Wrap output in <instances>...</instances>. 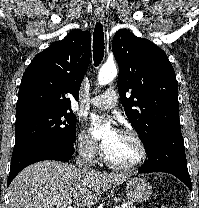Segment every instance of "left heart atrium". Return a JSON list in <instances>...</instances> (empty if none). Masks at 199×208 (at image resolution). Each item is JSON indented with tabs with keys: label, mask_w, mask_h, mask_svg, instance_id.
Wrapping results in <instances>:
<instances>
[{
	"label": "left heart atrium",
	"mask_w": 199,
	"mask_h": 208,
	"mask_svg": "<svg viewBox=\"0 0 199 208\" xmlns=\"http://www.w3.org/2000/svg\"><path fill=\"white\" fill-rule=\"evenodd\" d=\"M99 120L100 118H93L91 125L96 124ZM110 133H111V136H115L118 132L116 130H112ZM108 146H109V141L103 142L102 147L104 151L108 148Z\"/></svg>",
	"instance_id": "obj_1"
}]
</instances>
